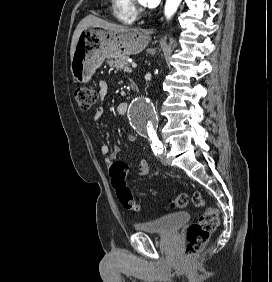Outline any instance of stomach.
<instances>
[{
	"label": "stomach",
	"instance_id": "obj_1",
	"mask_svg": "<svg viewBox=\"0 0 272 282\" xmlns=\"http://www.w3.org/2000/svg\"><path fill=\"white\" fill-rule=\"evenodd\" d=\"M151 40L150 31L132 28L111 31L87 27L79 35L71 60V72L79 83L88 82L106 58H122L143 51Z\"/></svg>",
	"mask_w": 272,
	"mask_h": 282
}]
</instances>
